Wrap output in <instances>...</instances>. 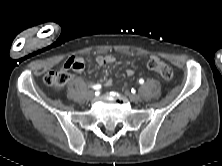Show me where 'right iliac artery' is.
<instances>
[{"label":"right iliac artery","instance_id":"right-iliac-artery-1","mask_svg":"<svg viewBox=\"0 0 222 166\" xmlns=\"http://www.w3.org/2000/svg\"><path fill=\"white\" fill-rule=\"evenodd\" d=\"M91 87L95 90H99L101 88V85L96 84V85H92Z\"/></svg>","mask_w":222,"mask_h":166}]
</instances>
